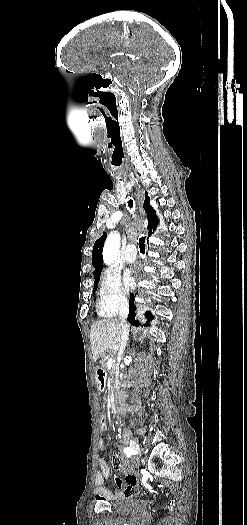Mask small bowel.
Masks as SVG:
<instances>
[{
    "label": "small bowel",
    "mask_w": 247,
    "mask_h": 525,
    "mask_svg": "<svg viewBox=\"0 0 247 525\" xmlns=\"http://www.w3.org/2000/svg\"><path fill=\"white\" fill-rule=\"evenodd\" d=\"M100 448L103 447V440L100 441ZM99 470L95 476V485L96 492L100 497L109 496L113 499H122L125 497V492L129 494H136V488L139 485L138 476L134 472H128L125 474L124 478H120L118 474L113 476L115 480V486L117 491L114 488H109L108 490L104 487V483L110 477V468L103 456H99ZM123 459L121 456L116 455L112 459L111 466L115 470H119L123 466Z\"/></svg>",
    "instance_id": "small-bowel-1"
}]
</instances>
